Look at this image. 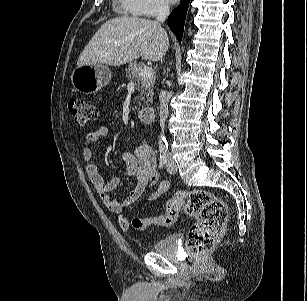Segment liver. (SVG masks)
I'll use <instances>...</instances> for the list:
<instances>
[{"label":"liver","mask_w":307,"mask_h":301,"mask_svg":"<svg viewBox=\"0 0 307 301\" xmlns=\"http://www.w3.org/2000/svg\"><path fill=\"white\" fill-rule=\"evenodd\" d=\"M169 47L168 35L157 21L116 17L105 22L80 54L77 66H120L139 57L157 62Z\"/></svg>","instance_id":"6515ba94"}]
</instances>
